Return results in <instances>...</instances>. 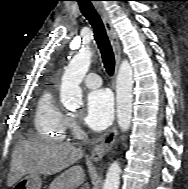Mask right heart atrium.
Returning a JSON list of instances; mask_svg holds the SVG:
<instances>
[{"label":"right heart atrium","mask_w":188,"mask_h":189,"mask_svg":"<svg viewBox=\"0 0 188 189\" xmlns=\"http://www.w3.org/2000/svg\"><path fill=\"white\" fill-rule=\"evenodd\" d=\"M68 125L72 127L73 129L77 128V122L74 118L70 117L68 118Z\"/></svg>","instance_id":"d8ad5b80"}]
</instances>
